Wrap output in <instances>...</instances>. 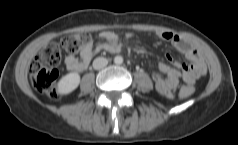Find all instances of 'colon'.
Returning a JSON list of instances; mask_svg holds the SVG:
<instances>
[{
	"label": "colon",
	"instance_id": "5ec220e1",
	"mask_svg": "<svg viewBox=\"0 0 238 145\" xmlns=\"http://www.w3.org/2000/svg\"><path fill=\"white\" fill-rule=\"evenodd\" d=\"M90 40L87 33H80L64 37L60 43H50L36 56L30 68V80L33 87L53 99L60 98L56 88L58 77L57 65L61 61V49L69 53H76ZM193 87L182 86L179 91L180 98H187L193 94Z\"/></svg>",
	"mask_w": 238,
	"mask_h": 145
}]
</instances>
